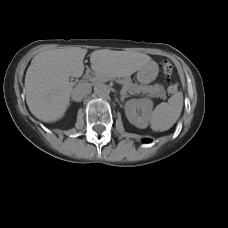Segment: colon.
<instances>
[{
    "label": "colon",
    "instance_id": "obj_1",
    "mask_svg": "<svg viewBox=\"0 0 228 228\" xmlns=\"http://www.w3.org/2000/svg\"><path fill=\"white\" fill-rule=\"evenodd\" d=\"M162 68H163V72H164L166 78H167V79H170V77H171V75H172V71H173V66H172V64L169 63V62H165V63H163ZM177 89H178L177 84H175V83L170 84V85L168 86V93H169L170 95H172V94H174V93L177 91Z\"/></svg>",
    "mask_w": 228,
    "mask_h": 228
}]
</instances>
